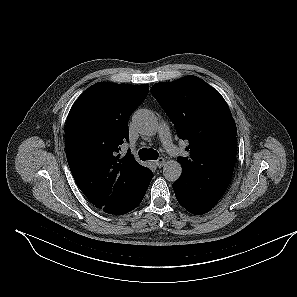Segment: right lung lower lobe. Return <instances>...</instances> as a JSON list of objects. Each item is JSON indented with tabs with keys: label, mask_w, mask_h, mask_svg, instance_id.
<instances>
[{
	"label": "right lung lower lobe",
	"mask_w": 297,
	"mask_h": 297,
	"mask_svg": "<svg viewBox=\"0 0 297 297\" xmlns=\"http://www.w3.org/2000/svg\"><path fill=\"white\" fill-rule=\"evenodd\" d=\"M152 179V175L150 176V178L142 185V187L140 188V190L134 195V197L129 201V203L122 208L121 210H119L118 212H116V215H122L125 213L130 212L131 210H133L134 208H136L142 201L147 188L150 184V181Z\"/></svg>",
	"instance_id": "1"
}]
</instances>
